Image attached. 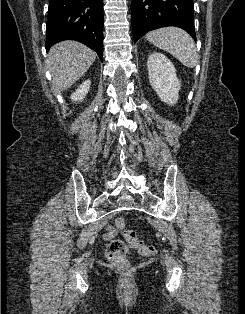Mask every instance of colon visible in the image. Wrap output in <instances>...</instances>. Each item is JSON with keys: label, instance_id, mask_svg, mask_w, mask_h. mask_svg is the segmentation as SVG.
<instances>
[{"label": "colon", "instance_id": "colon-1", "mask_svg": "<svg viewBox=\"0 0 245 314\" xmlns=\"http://www.w3.org/2000/svg\"><path fill=\"white\" fill-rule=\"evenodd\" d=\"M116 226L123 231L126 242L116 239L112 240L106 249L107 258L116 265L126 264L129 255V247L136 249L142 255L153 256L157 253L155 245H149L138 239L136 232L130 227L124 217H118Z\"/></svg>", "mask_w": 245, "mask_h": 314}]
</instances>
